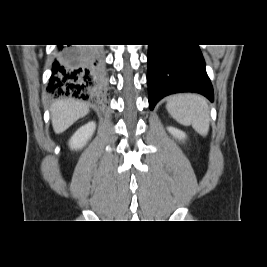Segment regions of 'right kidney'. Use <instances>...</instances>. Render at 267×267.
<instances>
[{
	"label": "right kidney",
	"mask_w": 267,
	"mask_h": 267,
	"mask_svg": "<svg viewBox=\"0 0 267 267\" xmlns=\"http://www.w3.org/2000/svg\"><path fill=\"white\" fill-rule=\"evenodd\" d=\"M95 129V122H89L86 125L80 127L69 141V146L71 147V149H82L91 139Z\"/></svg>",
	"instance_id": "ca27d5eb"
}]
</instances>
